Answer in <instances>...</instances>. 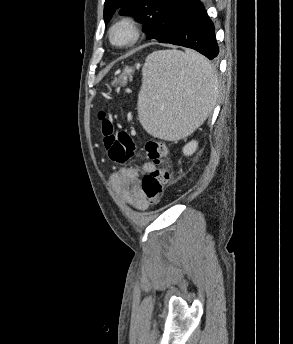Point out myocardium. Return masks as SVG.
Instances as JSON below:
<instances>
[{
  "mask_svg": "<svg viewBox=\"0 0 293 344\" xmlns=\"http://www.w3.org/2000/svg\"><path fill=\"white\" fill-rule=\"evenodd\" d=\"M124 29L128 32L129 37L127 40L123 42H117L115 40V33L120 30ZM140 37V31L136 20L130 16H124L119 18L117 21L113 23V25L109 29V40L111 44L117 48H126L132 46L137 42Z\"/></svg>",
  "mask_w": 293,
  "mask_h": 344,
  "instance_id": "myocardium-1",
  "label": "myocardium"
}]
</instances>
